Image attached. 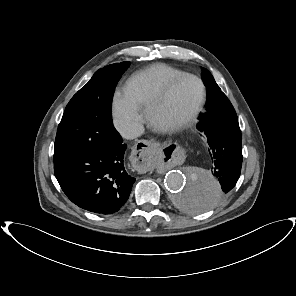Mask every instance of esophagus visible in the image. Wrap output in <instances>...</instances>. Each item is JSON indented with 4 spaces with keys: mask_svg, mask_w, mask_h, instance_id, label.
Returning a JSON list of instances; mask_svg holds the SVG:
<instances>
[{
    "mask_svg": "<svg viewBox=\"0 0 296 296\" xmlns=\"http://www.w3.org/2000/svg\"><path fill=\"white\" fill-rule=\"evenodd\" d=\"M153 141L141 140L132 147V168L139 173L147 172L158 157Z\"/></svg>",
    "mask_w": 296,
    "mask_h": 296,
    "instance_id": "obj_1",
    "label": "esophagus"
}]
</instances>
